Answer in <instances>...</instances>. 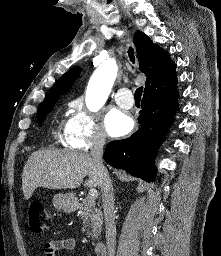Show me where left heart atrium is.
<instances>
[{
	"instance_id": "left-heart-atrium-1",
	"label": "left heart atrium",
	"mask_w": 221,
	"mask_h": 256,
	"mask_svg": "<svg viewBox=\"0 0 221 256\" xmlns=\"http://www.w3.org/2000/svg\"><path fill=\"white\" fill-rule=\"evenodd\" d=\"M132 125V119L119 109L112 108L105 115V130L111 137H118L128 133Z\"/></svg>"
}]
</instances>
